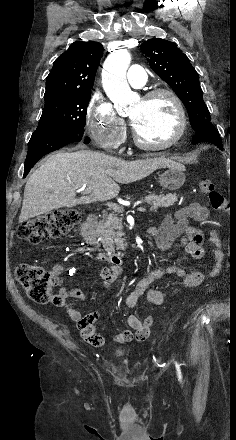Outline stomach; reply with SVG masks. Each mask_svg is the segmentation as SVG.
<instances>
[{
    "label": "stomach",
    "mask_w": 236,
    "mask_h": 440,
    "mask_svg": "<svg viewBox=\"0 0 236 440\" xmlns=\"http://www.w3.org/2000/svg\"><path fill=\"white\" fill-rule=\"evenodd\" d=\"M166 170L158 175V183L165 189H179L185 182V168L181 164L172 163Z\"/></svg>",
    "instance_id": "1"
}]
</instances>
